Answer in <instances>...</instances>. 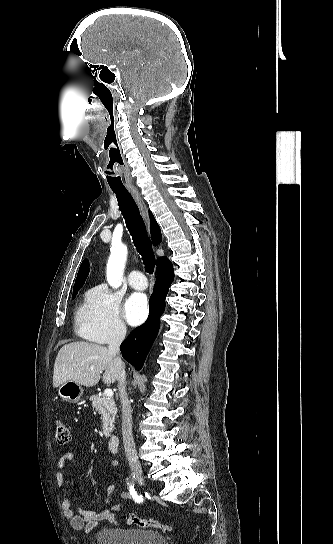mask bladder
Returning <instances> with one entry per match:
<instances>
[{"label": "bladder", "instance_id": "obj_1", "mask_svg": "<svg viewBox=\"0 0 333 544\" xmlns=\"http://www.w3.org/2000/svg\"><path fill=\"white\" fill-rule=\"evenodd\" d=\"M96 544H168L159 532L128 527H111L100 530Z\"/></svg>", "mask_w": 333, "mask_h": 544}]
</instances>
